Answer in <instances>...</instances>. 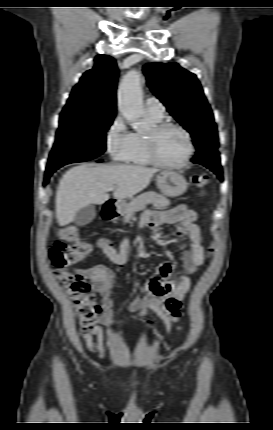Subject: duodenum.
<instances>
[{"instance_id": "duodenum-1", "label": "duodenum", "mask_w": 273, "mask_h": 430, "mask_svg": "<svg viewBox=\"0 0 273 430\" xmlns=\"http://www.w3.org/2000/svg\"><path fill=\"white\" fill-rule=\"evenodd\" d=\"M118 216L117 207L113 203H107L102 209L104 220H112Z\"/></svg>"}]
</instances>
